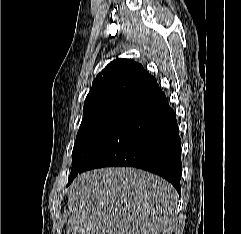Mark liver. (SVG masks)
<instances>
[{
  "instance_id": "1",
  "label": "liver",
  "mask_w": 241,
  "mask_h": 234,
  "mask_svg": "<svg viewBox=\"0 0 241 234\" xmlns=\"http://www.w3.org/2000/svg\"><path fill=\"white\" fill-rule=\"evenodd\" d=\"M178 193L166 180L135 168L78 175L68 194V234H172Z\"/></svg>"
}]
</instances>
